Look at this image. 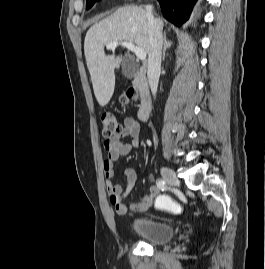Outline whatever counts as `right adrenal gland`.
I'll use <instances>...</instances> for the list:
<instances>
[{
  "instance_id": "1",
  "label": "right adrenal gland",
  "mask_w": 265,
  "mask_h": 269,
  "mask_svg": "<svg viewBox=\"0 0 265 269\" xmlns=\"http://www.w3.org/2000/svg\"><path fill=\"white\" fill-rule=\"evenodd\" d=\"M172 45V41H169L167 39V33H164V49H163V54H162V60H165V55H166V50L170 48Z\"/></svg>"
}]
</instances>
